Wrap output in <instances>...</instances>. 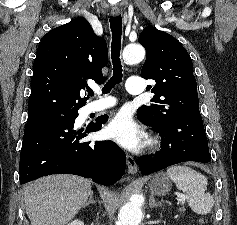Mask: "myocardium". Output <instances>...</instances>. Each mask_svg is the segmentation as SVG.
I'll return each mask as SVG.
<instances>
[{
  "label": "myocardium",
  "mask_w": 237,
  "mask_h": 225,
  "mask_svg": "<svg viewBox=\"0 0 237 225\" xmlns=\"http://www.w3.org/2000/svg\"><path fill=\"white\" fill-rule=\"evenodd\" d=\"M159 144H160V141H159L158 138H156V137L152 138V140H151V145H152L153 147H158Z\"/></svg>",
  "instance_id": "1"
}]
</instances>
